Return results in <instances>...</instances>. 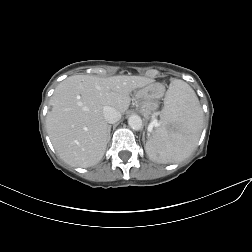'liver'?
<instances>
[{"label":"liver","mask_w":252,"mask_h":252,"mask_svg":"<svg viewBox=\"0 0 252 252\" xmlns=\"http://www.w3.org/2000/svg\"><path fill=\"white\" fill-rule=\"evenodd\" d=\"M142 76L100 78L74 75L66 78L50 98L46 129L60 158L74 167H91L103 158L109 140V125L103 107L124 114L130 94L152 83Z\"/></svg>","instance_id":"6515ba94"}]
</instances>
